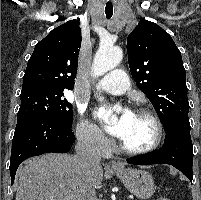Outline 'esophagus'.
Wrapping results in <instances>:
<instances>
[{
	"label": "esophagus",
	"mask_w": 201,
	"mask_h": 200,
	"mask_svg": "<svg viewBox=\"0 0 201 200\" xmlns=\"http://www.w3.org/2000/svg\"><path fill=\"white\" fill-rule=\"evenodd\" d=\"M111 167L114 169H122L123 165L121 162L117 161V160H112L110 163Z\"/></svg>",
	"instance_id": "1"
}]
</instances>
